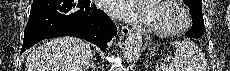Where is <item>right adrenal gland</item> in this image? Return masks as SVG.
<instances>
[{"label":"right adrenal gland","mask_w":230,"mask_h":71,"mask_svg":"<svg viewBox=\"0 0 230 71\" xmlns=\"http://www.w3.org/2000/svg\"><path fill=\"white\" fill-rule=\"evenodd\" d=\"M89 68L92 69V71H95V65H94V58L93 55L90 57V62L87 64V66L85 67L84 71H88Z\"/></svg>","instance_id":"right-adrenal-gland-1"}]
</instances>
